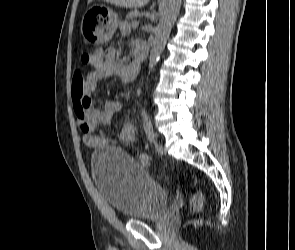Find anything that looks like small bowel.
<instances>
[{
  "label": "small bowel",
  "mask_w": 295,
  "mask_h": 250,
  "mask_svg": "<svg viewBox=\"0 0 295 250\" xmlns=\"http://www.w3.org/2000/svg\"><path fill=\"white\" fill-rule=\"evenodd\" d=\"M123 32H127L126 26H122ZM134 47H138L135 43ZM93 70L86 76L77 70L72 79V100L77 125L82 132L83 143L88 147H103L113 142L110 136L98 130L100 126L111 123L113 116L121 109V104L115 100L101 102L100 108L94 105V95L98 93L97 82L100 79L119 76L122 81H132L139 68L135 62L122 64L116 58V50L113 47L95 49L92 51V59L89 62ZM125 139L132 137V129L127 128L123 132Z\"/></svg>",
  "instance_id": "c3829d8e"
}]
</instances>
